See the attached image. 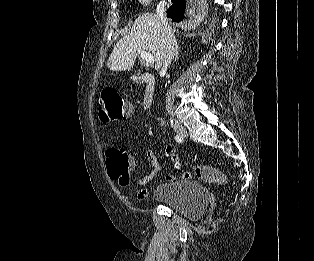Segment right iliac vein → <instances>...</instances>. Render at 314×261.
Returning a JSON list of instances; mask_svg holds the SVG:
<instances>
[{"instance_id": "obj_1", "label": "right iliac vein", "mask_w": 314, "mask_h": 261, "mask_svg": "<svg viewBox=\"0 0 314 261\" xmlns=\"http://www.w3.org/2000/svg\"><path fill=\"white\" fill-rule=\"evenodd\" d=\"M171 126L175 130V132H177L180 136L182 137L187 136L186 129L179 122H172Z\"/></svg>"}]
</instances>
